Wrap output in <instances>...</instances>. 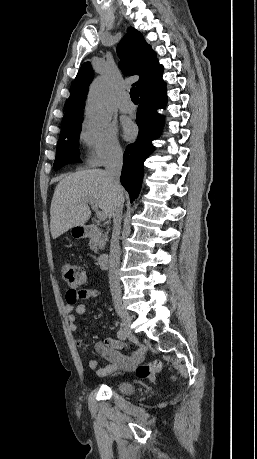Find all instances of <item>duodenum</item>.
<instances>
[{
	"label": "duodenum",
	"instance_id": "obj_1",
	"mask_svg": "<svg viewBox=\"0 0 257 459\" xmlns=\"http://www.w3.org/2000/svg\"><path fill=\"white\" fill-rule=\"evenodd\" d=\"M78 236L81 238H89L93 236H98L100 234V229L94 224H87L82 227L77 228ZM98 265L101 268H105L108 263V255L102 254L97 259Z\"/></svg>",
	"mask_w": 257,
	"mask_h": 459
}]
</instances>
